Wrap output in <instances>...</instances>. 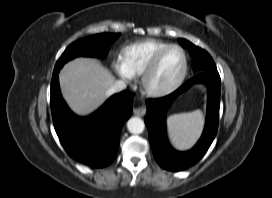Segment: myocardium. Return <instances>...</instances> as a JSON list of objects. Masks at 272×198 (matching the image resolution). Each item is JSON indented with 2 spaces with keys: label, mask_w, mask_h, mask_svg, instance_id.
I'll return each mask as SVG.
<instances>
[{
  "label": "myocardium",
  "mask_w": 272,
  "mask_h": 198,
  "mask_svg": "<svg viewBox=\"0 0 272 198\" xmlns=\"http://www.w3.org/2000/svg\"><path fill=\"white\" fill-rule=\"evenodd\" d=\"M172 49H178L182 52L183 58H184V64L183 69L180 75L174 80L171 84L164 86V87H155L152 85V79L157 72L159 65L163 59V57L166 55L167 52H169ZM189 69V60L188 55L183 47L176 44H170L160 50L156 56L153 58L149 66L146 68V70L143 72L141 77V88L142 91L151 97H162L171 94L175 90H177L181 84L183 83L184 79L187 76Z\"/></svg>",
  "instance_id": "myocardium-1"
}]
</instances>
